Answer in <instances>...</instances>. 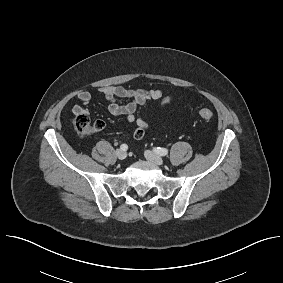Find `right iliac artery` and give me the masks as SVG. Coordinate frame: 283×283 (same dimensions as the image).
Wrapping results in <instances>:
<instances>
[{"mask_svg": "<svg viewBox=\"0 0 283 283\" xmlns=\"http://www.w3.org/2000/svg\"><path fill=\"white\" fill-rule=\"evenodd\" d=\"M120 149L123 150V151H126L128 149V146L126 144H122L120 146Z\"/></svg>", "mask_w": 283, "mask_h": 283, "instance_id": "obj_1", "label": "right iliac artery"}]
</instances>
